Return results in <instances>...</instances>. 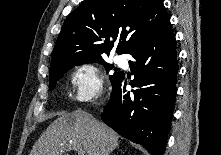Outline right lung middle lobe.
I'll return each mask as SVG.
<instances>
[{"instance_id":"dd1d6c3e","label":"right lung middle lobe","mask_w":221,"mask_h":155,"mask_svg":"<svg viewBox=\"0 0 221 155\" xmlns=\"http://www.w3.org/2000/svg\"><path fill=\"white\" fill-rule=\"evenodd\" d=\"M89 62H102V59L98 60H93V61H86V62H80L78 64L74 65H69V66H63L60 68H57L53 71H50V81H49V90H52L53 87L56 85L57 81L62 77L64 73H66L69 69L73 68L75 65H81L84 63H89ZM105 68L107 72L111 69H113V66L105 63ZM121 74V72H115L113 75H110V81L111 83Z\"/></svg>"}]
</instances>
